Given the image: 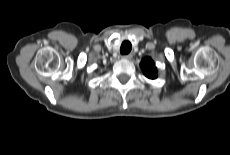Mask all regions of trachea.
<instances>
[{
  "label": "trachea",
  "instance_id": "3493384b",
  "mask_svg": "<svg viewBox=\"0 0 230 155\" xmlns=\"http://www.w3.org/2000/svg\"><path fill=\"white\" fill-rule=\"evenodd\" d=\"M132 49L131 43L127 40L123 41L121 48H120V53L121 54H128Z\"/></svg>",
  "mask_w": 230,
  "mask_h": 155
}]
</instances>
